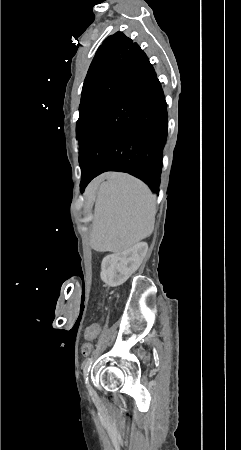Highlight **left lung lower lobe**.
I'll return each instance as SVG.
<instances>
[{"label": "left lung lower lobe", "mask_w": 241, "mask_h": 450, "mask_svg": "<svg viewBox=\"0 0 241 450\" xmlns=\"http://www.w3.org/2000/svg\"><path fill=\"white\" fill-rule=\"evenodd\" d=\"M116 102L95 122L79 154L81 191L106 171L130 173L158 192L167 108L153 66L135 43Z\"/></svg>", "instance_id": "0a47b994"}]
</instances>
